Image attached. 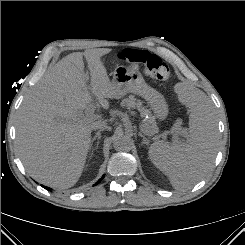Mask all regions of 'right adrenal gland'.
<instances>
[{"mask_svg": "<svg viewBox=\"0 0 245 245\" xmlns=\"http://www.w3.org/2000/svg\"><path fill=\"white\" fill-rule=\"evenodd\" d=\"M101 131H102V129H100L99 131H97L96 134H95V136L91 140V145H92L93 142L97 139L96 146H95V148H93V151L96 150L97 147H98V145H99V139L101 138Z\"/></svg>", "mask_w": 245, "mask_h": 245, "instance_id": "2a0ac1e0", "label": "right adrenal gland"}]
</instances>
